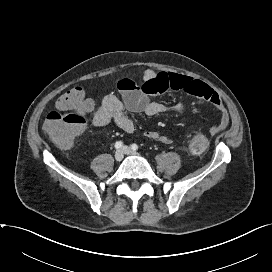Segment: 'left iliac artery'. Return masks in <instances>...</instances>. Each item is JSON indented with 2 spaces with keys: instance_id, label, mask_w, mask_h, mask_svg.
<instances>
[{
  "instance_id": "obj_1",
  "label": "left iliac artery",
  "mask_w": 272,
  "mask_h": 272,
  "mask_svg": "<svg viewBox=\"0 0 272 272\" xmlns=\"http://www.w3.org/2000/svg\"><path fill=\"white\" fill-rule=\"evenodd\" d=\"M131 148H132L133 150H137V149H138V145H137V144H132V145H131Z\"/></svg>"
}]
</instances>
